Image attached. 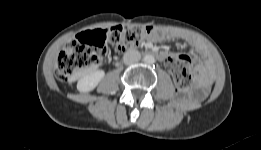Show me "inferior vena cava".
Wrapping results in <instances>:
<instances>
[{
    "mask_svg": "<svg viewBox=\"0 0 261 150\" xmlns=\"http://www.w3.org/2000/svg\"><path fill=\"white\" fill-rule=\"evenodd\" d=\"M141 59V55L137 50H128L124 56L123 61L126 65H131L139 62Z\"/></svg>",
    "mask_w": 261,
    "mask_h": 150,
    "instance_id": "inferior-vena-cava-1",
    "label": "inferior vena cava"
}]
</instances>
